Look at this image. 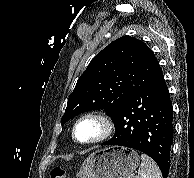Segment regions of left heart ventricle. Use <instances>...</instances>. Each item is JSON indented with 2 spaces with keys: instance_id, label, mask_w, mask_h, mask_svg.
<instances>
[{
  "instance_id": "left-heart-ventricle-1",
  "label": "left heart ventricle",
  "mask_w": 194,
  "mask_h": 178,
  "mask_svg": "<svg viewBox=\"0 0 194 178\" xmlns=\"http://www.w3.org/2000/svg\"><path fill=\"white\" fill-rule=\"evenodd\" d=\"M100 125L97 121L88 119L81 122L76 130V136L80 141L87 142L99 135Z\"/></svg>"
}]
</instances>
